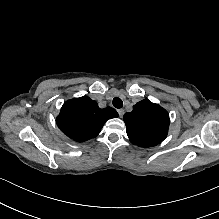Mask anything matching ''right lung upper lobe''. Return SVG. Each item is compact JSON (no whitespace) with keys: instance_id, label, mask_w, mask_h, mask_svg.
Segmentation results:
<instances>
[{"instance_id":"cb5924a9","label":"right lung upper lobe","mask_w":219,"mask_h":219,"mask_svg":"<svg viewBox=\"0 0 219 219\" xmlns=\"http://www.w3.org/2000/svg\"><path fill=\"white\" fill-rule=\"evenodd\" d=\"M118 116L115 109H100L96 101L83 96L66 101L56 121L66 136L76 142H84L96 137L108 119Z\"/></svg>"}]
</instances>
